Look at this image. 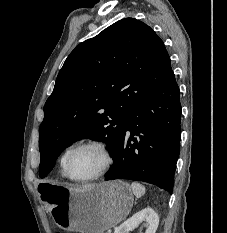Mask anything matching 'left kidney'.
<instances>
[{
	"mask_svg": "<svg viewBox=\"0 0 227 233\" xmlns=\"http://www.w3.org/2000/svg\"><path fill=\"white\" fill-rule=\"evenodd\" d=\"M143 220L146 222L145 233H155L159 224V217L158 214L149 207L141 210L126 220L116 228L114 233H129V231L133 230Z\"/></svg>",
	"mask_w": 227,
	"mask_h": 233,
	"instance_id": "obj_1",
	"label": "left kidney"
}]
</instances>
